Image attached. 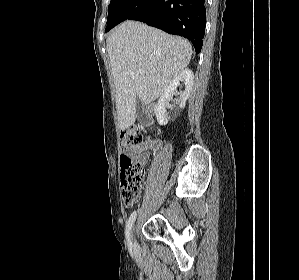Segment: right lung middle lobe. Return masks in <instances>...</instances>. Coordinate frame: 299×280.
Here are the masks:
<instances>
[{
  "mask_svg": "<svg viewBox=\"0 0 299 280\" xmlns=\"http://www.w3.org/2000/svg\"><path fill=\"white\" fill-rule=\"evenodd\" d=\"M130 0H111L108 7V19L107 27L105 32H108L111 28L115 26V21L124 7L128 4Z\"/></svg>",
  "mask_w": 299,
  "mask_h": 280,
  "instance_id": "right-lung-middle-lobe-1",
  "label": "right lung middle lobe"
}]
</instances>
